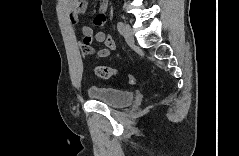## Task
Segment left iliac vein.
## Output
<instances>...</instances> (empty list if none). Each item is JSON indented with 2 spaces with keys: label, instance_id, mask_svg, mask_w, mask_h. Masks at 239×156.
<instances>
[{
  "label": "left iliac vein",
  "instance_id": "1",
  "mask_svg": "<svg viewBox=\"0 0 239 156\" xmlns=\"http://www.w3.org/2000/svg\"><path fill=\"white\" fill-rule=\"evenodd\" d=\"M123 36H124L125 41L128 44H133L134 43L133 33H132V30H131V28L128 24L124 25Z\"/></svg>",
  "mask_w": 239,
  "mask_h": 156
}]
</instances>
